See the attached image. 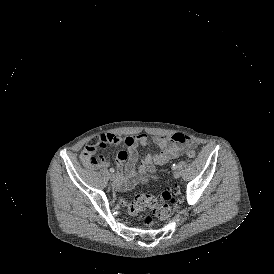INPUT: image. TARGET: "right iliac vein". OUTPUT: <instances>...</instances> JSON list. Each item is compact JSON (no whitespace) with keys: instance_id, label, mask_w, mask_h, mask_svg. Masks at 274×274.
<instances>
[{"instance_id":"1","label":"right iliac vein","mask_w":274,"mask_h":274,"mask_svg":"<svg viewBox=\"0 0 274 274\" xmlns=\"http://www.w3.org/2000/svg\"><path fill=\"white\" fill-rule=\"evenodd\" d=\"M109 179L112 181L113 185H116V181H115L116 177L114 174H110Z\"/></svg>"}]
</instances>
